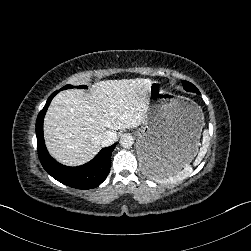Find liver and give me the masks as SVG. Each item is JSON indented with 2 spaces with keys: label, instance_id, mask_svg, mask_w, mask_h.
Returning a JSON list of instances; mask_svg holds the SVG:
<instances>
[{
  "label": "liver",
  "instance_id": "obj_1",
  "mask_svg": "<svg viewBox=\"0 0 251 251\" xmlns=\"http://www.w3.org/2000/svg\"><path fill=\"white\" fill-rule=\"evenodd\" d=\"M150 79L100 81L91 94L65 90L52 100L44 118L49 153L67 165L90 161L100 150V134L136 128L146 120Z\"/></svg>",
  "mask_w": 251,
  "mask_h": 251
}]
</instances>
